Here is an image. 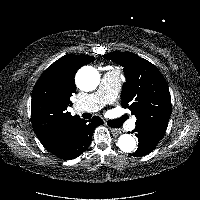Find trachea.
<instances>
[{"label":"trachea","mask_w":200,"mask_h":200,"mask_svg":"<svg viewBox=\"0 0 200 200\" xmlns=\"http://www.w3.org/2000/svg\"><path fill=\"white\" fill-rule=\"evenodd\" d=\"M83 117H84L85 119H89V118L91 117V115L88 114V113H84V114H83ZM108 125L111 126V127H114V128H118V127L121 126V122L113 120V121H109V122H108Z\"/></svg>","instance_id":"1"}]
</instances>
